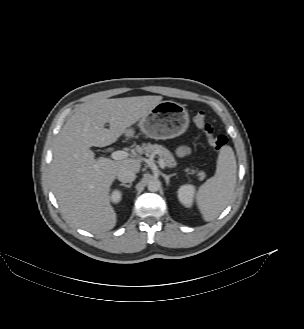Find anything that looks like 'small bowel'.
<instances>
[{"mask_svg": "<svg viewBox=\"0 0 304 329\" xmlns=\"http://www.w3.org/2000/svg\"><path fill=\"white\" fill-rule=\"evenodd\" d=\"M189 150L187 147H179L177 149V155L180 156V157H183V156H186L188 154Z\"/></svg>", "mask_w": 304, "mask_h": 329, "instance_id": "obj_1", "label": "small bowel"}]
</instances>
